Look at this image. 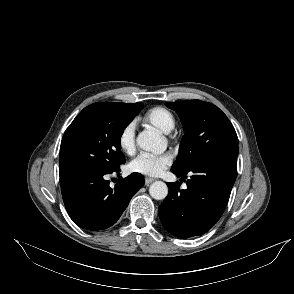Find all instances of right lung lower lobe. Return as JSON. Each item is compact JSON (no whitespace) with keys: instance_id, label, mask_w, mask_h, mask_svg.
Masks as SVG:
<instances>
[{"instance_id":"right-lung-lower-lobe-1","label":"right lung lower lobe","mask_w":294,"mask_h":294,"mask_svg":"<svg viewBox=\"0 0 294 294\" xmlns=\"http://www.w3.org/2000/svg\"><path fill=\"white\" fill-rule=\"evenodd\" d=\"M113 172H120V167L111 172L101 170L60 176L66 210L79 227L102 230L112 226L144 185V177L132 173L125 179L120 178L115 188H111L106 177Z\"/></svg>"}]
</instances>
